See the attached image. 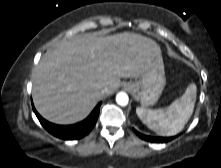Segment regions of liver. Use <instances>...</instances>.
<instances>
[{"instance_id": "obj_1", "label": "liver", "mask_w": 221, "mask_h": 168, "mask_svg": "<svg viewBox=\"0 0 221 168\" xmlns=\"http://www.w3.org/2000/svg\"><path fill=\"white\" fill-rule=\"evenodd\" d=\"M153 66H163L161 49L139 34H86L62 41L34 69V105L50 122L73 124L115 92L120 78H139Z\"/></svg>"}]
</instances>
